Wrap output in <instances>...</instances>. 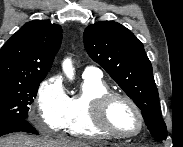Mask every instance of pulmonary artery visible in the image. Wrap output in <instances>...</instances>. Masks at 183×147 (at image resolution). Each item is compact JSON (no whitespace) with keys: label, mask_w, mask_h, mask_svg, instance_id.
I'll return each mask as SVG.
<instances>
[{"label":"pulmonary artery","mask_w":183,"mask_h":147,"mask_svg":"<svg viewBox=\"0 0 183 147\" xmlns=\"http://www.w3.org/2000/svg\"><path fill=\"white\" fill-rule=\"evenodd\" d=\"M82 76L83 78L101 80L103 73L98 67L88 66L84 69Z\"/></svg>","instance_id":"e3ab8cb5"}]
</instances>
